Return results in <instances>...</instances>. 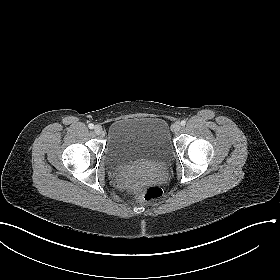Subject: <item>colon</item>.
I'll use <instances>...</instances> for the list:
<instances>
[{"label": "colon", "mask_w": 280, "mask_h": 280, "mask_svg": "<svg viewBox=\"0 0 280 280\" xmlns=\"http://www.w3.org/2000/svg\"><path fill=\"white\" fill-rule=\"evenodd\" d=\"M136 192L146 202L156 201L162 196V190L157 186L138 187Z\"/></svg>", "instance_id": "1"}]
</instances>
